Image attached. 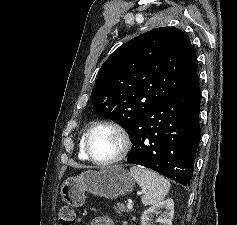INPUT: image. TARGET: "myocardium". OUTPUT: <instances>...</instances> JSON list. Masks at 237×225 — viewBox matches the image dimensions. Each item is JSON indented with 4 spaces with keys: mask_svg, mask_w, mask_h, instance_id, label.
I'll return each instance as SVG.
<instances>
[{
    "mask_svg": "<svg viewBox=\"0 0 237 225\" xmlns=\"http://www.w3.org/2000/svg\"><path fill=\"white\" fill-rule=\"evenodd\" d=\"M98 128L112 129L113 131L117 133V135L120 138V142H121L120 149L118 153L112 158H109L106 160H100V159L95 158L91 154L90 146H89L90 138H91L92 133ZM83 148H84V153L86 157L88 158V160H90L91 162L97 165L109 166V165H113L122 161L128 155L131 148V140H130V136L128 132L121 125L110 120H102V121L96 122L87 130L84 136Z\"/></svg>",
    "mask_w": 237,
    "mask_h": 225,
    "instance_id": "1",
    "label": "myocardium"
}]
</instances>
